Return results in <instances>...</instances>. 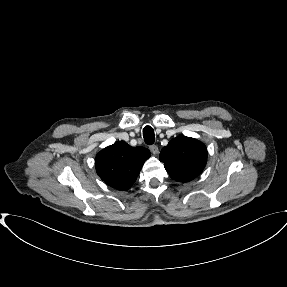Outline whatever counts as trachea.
I'll return each instance as SVG.
<instances>
[{
  "label": "trachea",
  "mask_w": 287,
  "mask_h": 287,
  "mask_svg": "<svg viewBox=\"0 0 287 287\" xmlns=\"http://www.w3.org/2000/svg\"><path fill=\"white\" fill-rule=\"evenodd\" d=\"M144 141L148 145H152L155 142L154 130L151 126H145L143 128Z\"/></svg>",
  "instance_id": "trachea-1"
}]
</instances>
